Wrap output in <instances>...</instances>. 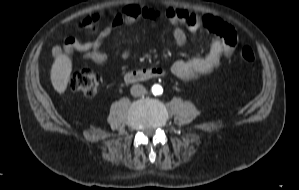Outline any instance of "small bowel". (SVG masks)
Returning a JSON list of instances; mask_svg holds the SVG:
<instances>
[{
    "label": "small bowel",
    "mask_w": 299,
    "mask_h": 190,
    "mask_svg": "<svg viewBox=\"0 0 299 190\" xmlns=\"http://www.w3.org/2000/svg\"><path fill=\"white\" fill-rule=\"evenodd\" d=\"M165 13L170 23L175 27L173 37L178 46H182L186 42V30L181 25H184L188 31L194 32L203 24L216 34L207 55L189 60L178 59L172 64L171 72L178 78L191 80L206 75L218 66L223 56L232 54L237 43V33L231 25L222 19L212 15L201 17L193 14L186 8L178 7H168ZM160 15L161 11L153 7L139 6L133 3L125 4L121 12L113 17L111 26L105 28L93 41L81 42L70 36L65 39L63 46H54L52 54L57 57L63 53L73 54L80 52L84 58L103 64L108 57L102 50V45L112 28L124 24H132L140 18L155 21ZM204 18L209 20L208 23H204ZM128 56V52L122 53L123 58Z\"/></svg>",
    "instance_id": "c3829d8e"
}]
</instances>
